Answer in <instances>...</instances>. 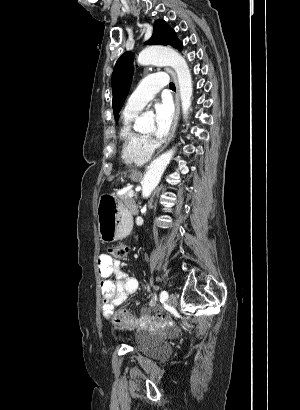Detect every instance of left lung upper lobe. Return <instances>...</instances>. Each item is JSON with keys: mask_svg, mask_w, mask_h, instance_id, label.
Returning a JSON list of instances; mask_svg holds the SVG:
<instances>
[{"mask_svg": "<svg viewBox=\"0 0 300 410\" xmlns=\"http://www.w3.org/2000/svg\"><path fill=\"white\" fill-rule=\"evenodd\" d=\"M145 44L171 45L179 50L182 49V43L178 40L175 31L164 20L155 21L152 37ZM132 77L133 54L125 52L117 60L112 74V106L116 121L130 89Z\"/></svg>", "mask_w": 300, "mask_h": 410, "instance_id": "left-lung-upper-lobe-1", "label": "left lung upper lobe"}]
</instances>
